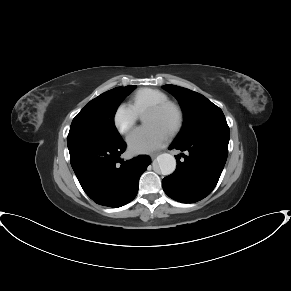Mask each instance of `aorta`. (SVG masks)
Wrapping results in <instances>:
<instances>
[{"label": "aorta", "mask_w": 291, "mask_h": 291, "mask_svg": "<svg viewBox=\"0 0 291 291\" xmlns=\"http://www.w3.org/2000/svg\"><path fill=\"white\" fill-rule=\"evenodd\" d=\"M157 166L163 175H170L175 171L176 159L168 153L160 154L157 159Z\"/></svg>", "instance_id": "aorta-1"}]
</instances>
